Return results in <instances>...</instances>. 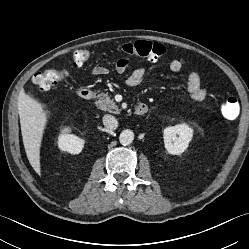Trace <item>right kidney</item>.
Here are the masks:
<instances>
[{
    "instance_id": "obj_1",
    "label": "right kidney",
    "mask_w": 249,
    "mask_h": 249,
    "mask_svg": "<svg viewBox=\"0 0 249 249\" xmlns=\"http://www.w3.org/2000/svg\"><path fill=\"white\" fill-rule=\"evenodd\" d=\"M69 128L63 130L58 138V147L62 151H66L70 154H79L83 147L85 141L75 135L68 134Z\"/></svg>"
}]
</instances>
